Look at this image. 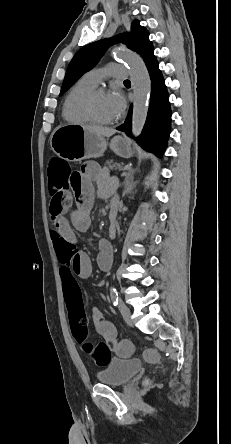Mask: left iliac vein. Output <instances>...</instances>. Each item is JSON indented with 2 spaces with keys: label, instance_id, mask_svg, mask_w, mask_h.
Instances as JSON below:
<instances>
[{
  "label": "left iliac vein",
  "instance_id": "left-iliac-vein-1",
  "mask_svg": "<svg viewBox=\"0 0 231 444\" xmlns=\"http://www.w3.org/2000/svg\"><path fill=\"white\" fill-rule=\"evenodd\" d=\"M119 311L124 319V321L128 324H131V311L130 309L122 302L120 301L118 304Z\"/></svg>",
  "mask_w": 231,
  "mask_h": 444
}]
</instances>
